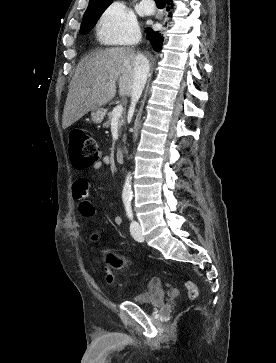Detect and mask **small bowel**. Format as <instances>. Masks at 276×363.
Returning a JSON list of instances; mask_svg holds the SVG:
<instances>
[{
	"label": "small bowel",
	"mask_w": 276,
	"mask_h": 363,
	"mask_svg": "<svg viewBox=\"0 0 276 363\" xmlns=\"http://www.w3.org/2000/svg\"><path fill=\"white\" fill-rule=\"evenodd\" d=\"M109 163L108 157H103L100 161L93 165L94 170H99ZM90 187L89 182L85 178H78L72 185L73 198L79 202V211L85 218H92L95 215V209L89 201ZM116 225L122 224V218L119 215L113 217Z\"/></svg>",
	"instance_id": "small-bowel-1"
}]
</instances>
